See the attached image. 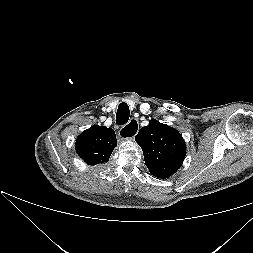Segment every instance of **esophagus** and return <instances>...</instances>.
Returning a JSON list of instances; mask_svg holds the SVG:
<instances>
[{
	"instance_id": "1",
	"label": "esophagus",
	"mask_w": 253,
	"mask_h": 253,
	"mask_svg": "<svg viewBox=\"0 0 253 253\" xmlns=\"http://www.w3.org/2000/svg\"><path fill=\"white\" fill-rule=\"evenodd\" d=\"M131 121L132 125H129ZM131 121L118 131V135L121 137V139H132L137 134L139 130V124L135 119H132Z\"/></svg>"
}]
</instances>
